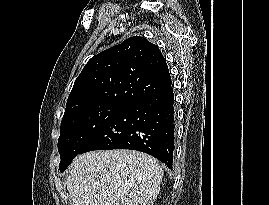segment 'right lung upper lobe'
<instances>
[{"label":"right lung upper lobe","instance_id":"1","mask_svg":"<svg viewBox=\"0 0 269 205\" xmlns=\"http://www.w3.org/2000/svg\"><path fill=\"white\" fill-rule=\"evenodd\" d=\"M170 87V73L158 46L144 37H130L88 61L74 83L64 116L97 103L131 105Z\"/></svg>","mask_w":269,"mask_h":205}]
</instances>
